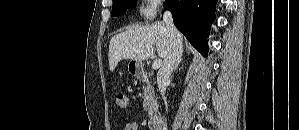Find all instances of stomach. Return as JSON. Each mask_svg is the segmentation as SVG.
Segmentation results:
<instances>
[{
	"label": "stomach",
	"instance_id": "0dacf381",
	"mask_svg": "<svg viewBox=\"0 0 299 130\" xmlns=\"http://www.w3.org/2000/svg\"><path fill=\"white\" fill-rule=\"evenodd\" d=\"M142 62L135 61V60H130L128 63V71L130 74L137 75L141 72L142 70Z\"/></svg>",
	"mask_w": 299,
	"mask_h": 130
}]
</instances>
